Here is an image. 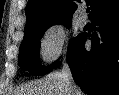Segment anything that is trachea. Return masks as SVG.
Masks as SVG:
<instances>
[{
	"mask_svg": "<svg viewBox=\"0 0 119 95\" xmlns=\"http://www.w3.org/2000/svg\"><path fill=\"white\" fill-rule=\"evenodd\" d=\"M90 11V8H87V12H89Z\"/></svg>",
	"mask_w": 119,
	"mask_h": 95,
	"instance_id": "obj_1",
	"label": "trachea"
}]
</instances>
